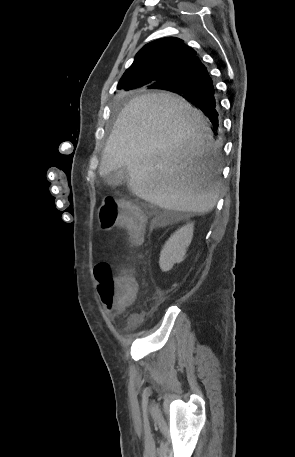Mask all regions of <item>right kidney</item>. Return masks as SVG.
Masks as SVG:
<instances>
[{
  "mask_svg": "<svg viewBox=\"0 0 295 457\" xmlns=\"http://www.w3.org/2000/svg\"><path fill=\"white\" fill-rule=\"evenodd\" d=\"M193 223L178 229L166 242L160 253L159 265L162 271L170 270L175 263L184 260L186 250L193 237Z\"/></svg>",
  "mask_w": 295,
  "mask_h": 457,
  "instance_id": "ca27d5eb",
  "label": "right kidney"
}]
</instances>
